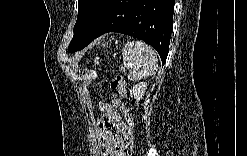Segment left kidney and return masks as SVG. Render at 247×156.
I'll list each match as a JSON object with an SVG mask.
<instances>
[{
    "label": "left kidney",
    "instance_id": "obj_1",
    "mask_svg": "<svg viewBox=\"0 0 247 156\" xmlns=\"http://www.w3.org/2000/svg\"><path fill=\"white\" fill-rule=\"evenodd\" d=\"M146 87H147L146 82H141L133 86L131 92H132L134 99L136 100L137 105L139 104V101L142 99L145 93Z\"/></svg>",
    "mask_w": 247,
    "mask_h": 156
}]
</instances>
